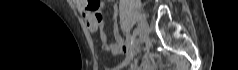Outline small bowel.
I'll list each match as a JSON object with an SVG mask.
<instances>
[{
  "mask_svg": "<svg viewBox=\"0 0 238 70\" xmlns=\"http://www.w3.org/2000/svg\"><path fill=\"white\" fill-rule=\"evenodd\" d=\"M78 10L81 12L86 26L91 33L99 35L104 50L114 55L125 54L131 55L135 49L133 38L122 39L118 31L117 14L114 15L113 33L115 41L108 43L107 35L103 30V20L101 10L103 3L99 0H76ZM149 64L144 61L140 67H134L135 70H147Z\"/></svg>",
  "mask_w": 238,
  "mask_h": 70,
  "instance_id": "small-bowel-1",
  "label": "small bowel"
}]
</instances>
